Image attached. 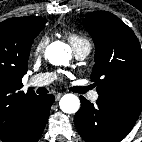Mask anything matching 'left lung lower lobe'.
Returning <instances> with one entry per match:
<instances>
[{
    "instance_id": "left-lung-lower-lobe-1",
    "label": "left lung lower lobe",
    "mask_w": 142,
    "mask_h": 142,
    "mask_svg": "<svg viewBox=\"0 0 142 142\" xmlns=\"http://www.w3.org/2000/svg\"><path fill=\"white\" fill-rule=\"evenodd\" d=\"M81 108L74 123L86 142H120L135 125L138 116L123 112L100 98L96 104L80 97Z\"/></svg>"
}]
</instances>
